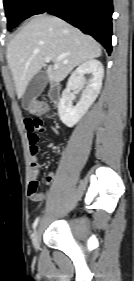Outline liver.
Wrapping results in <instances>:
<instances>
[{
	"label": "liver",
	"mask_w": 134,
	"mask_h": 281,
	"mask_svg": "<svg viewBox=\"0 0 134 281\" xmlns=\"http://www.w3.org/2000/svg\"><path fill=\"white\" fill-rule=\"evenodd\" d=\"M99 56L101 46L95 39L62 19L46 14L33 17L7 47V62L18 98L24 95L46 57L58 65L47 68L50 82H60L74 67Z\"/></svg>",
	"instance_id": "obj_1"
}]
</instances>
